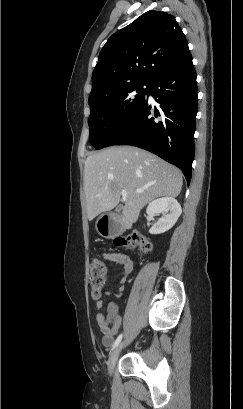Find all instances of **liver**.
<instances>
[{"instance_id": "6515ba94", "label": "liver", "mask_w": 243, "mask_h": 409, "mask_svg": "<svg viewBox=\"0 0 243 409\" xmlns=\"http://www.w3.org/2000/svg\"><path fill=\"white\" fill-rule=\"evenodd\" d=\"M182 172L156 155L132 146H112L87 157L84 192L91 221L114 209L123 198V220L137 221L141 209L159 197H177L182 189ZM142 193H135L136 190Z\"/></svg>"}]
</instances>
